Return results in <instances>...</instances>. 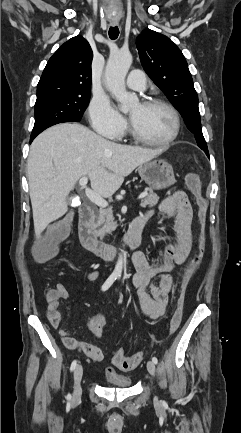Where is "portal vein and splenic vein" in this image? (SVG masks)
<instances>
[{"mask_svg":"<svg viewBox=\"0 0 241 433\" xmlns=\"http://www.w3.org/2000/svg\"><path fill=\"white\" fill-rule=\"evenodd\" d=\"M88 178L83 177L79 180V184L82 188L85 189V194L88 197V199L96 204L97 206L101 208H106L108 206V202L102 198L99 194H97L95 191L91 190L90 188H87ZM147 196V192H143L139 195L138 199H143Z\"/></svg>","mask_w":241,"mask_h":433,"instance_id":"portal-vein-and-splenic-vein-1","label":"portal vein and splenic vein"}]
</instances>
